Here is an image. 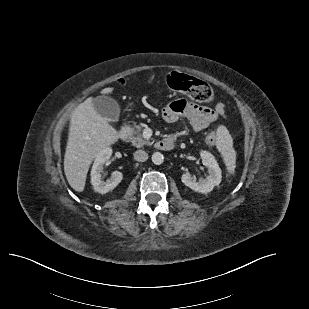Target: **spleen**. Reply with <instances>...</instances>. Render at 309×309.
<instances>
[{
  "label": "spleen",
  "instance_id": "1",
  "mask_svg": "<svg viewBox=\"0 0 309 309\" xmlns=\"http://www.w3.org/2000/svg\"><path fill=\"white\" fill-rule=\"evenodd\" d=\"M216 147L222 155L228 172L233 174L236 168V152L233 148L232 137L223 125L217 129Z\"/></svg>",
  "mask_w": 309,
  "mask_h": 309
}]
</instances>
